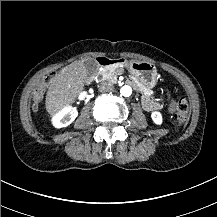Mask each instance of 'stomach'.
<instances>
[{"label":"stomach","mask_w":217,"mask_h":217,"mask_svg":"<svg viewBox=\"0 0 217 217\" xmlns=\"http://www.w3.org/2000/svg\"><path fill=\"white\" fill-rule=\"evenodd\" d=\"M123 66L147 88L151 89L157 84L158 74L153 63L130 60L125 61Z\"/></svg>","instance_id":"0dacf381"}]
</instances>
